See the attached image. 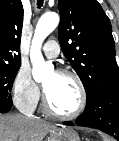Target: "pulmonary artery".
<instances>
[{
	"instance_id": "obj_1",
	"label": "pulmonary artery",
	"mask_w": 119,
	"mask_h": 141,
	"mask_svg": "<svg viewBox=\"0 0 119 141\" xmlns=\"http://www.w3.org/2000/svg\"><path fill=\"white\" fill-rule=\"evenodd\" d=\"M42 51L47 58H56L59 55L60 47L56 40H48L43 48Z\"/></svg>"
}]
</instances>
